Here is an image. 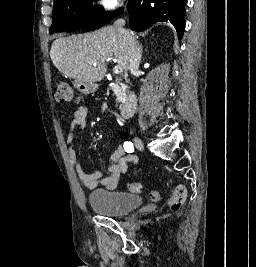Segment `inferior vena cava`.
Returning a JSON list of instances; mask_svg holds the SVG:
<instances>
[{"label":"inferior vena cava","mask_w":256,"mask_h":267,"mask_svg":"<svg viewBox=\"0 0 256 267\" xmlns=\"http://www.w3.org/2000/svg\"><path fill=\"white\" fill-rule=\"evenodd\" d=\"M126 22L125 20H116L114 22L113 26L116 28L117 32L119 34H122V36H127L130 44L129 48V70L131 72H137L141 60V52L140 48L138 46V42L136 40H132L128 30H124L123 26H125Z\"/></svg>","instance_id":"602c4592"}]
</instances>
